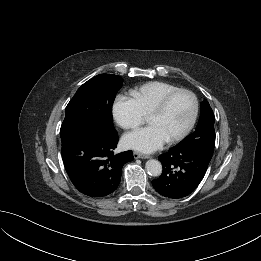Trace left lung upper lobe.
Returning <instances> with one entry per match:
<instances>
[{
  "mask_svg": "<svg viewBox=\"0 0 261 261\" xmlns=\"http://www.w3.org/2000/svg\"><path fill=\"white\" fill-rule=\"evenodd\" d=\"M215 117L208 103L204 100L201 103V114L196 130L183 139L177 146L197 150L209 158H212L215 147Z\"/></svg>",
  "mask_w": 261,
  "mask_h": 261,
  "instance_id": "5c2ea615",
  "label": "left lung upper lobe"
}]
</instances>
